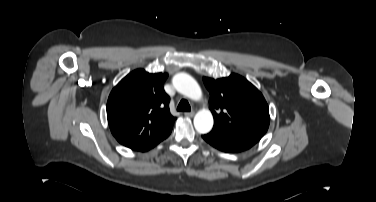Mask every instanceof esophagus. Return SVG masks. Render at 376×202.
<instances>
[{"label":"esophagus","instance_id":"34e87169","mask_svg":"<svg viewBox=\"0 0 376 202\" xmlns=\"http://www.w3.org/2000/svg\"><path fill=\"white\" fill-rule=\"evenodd\" d=\"M194 111H191V112H185L184 115L187 116V117H193L194 116Z\"/></svg>","mask_w":376,"mask_h":202}]
</instances>
